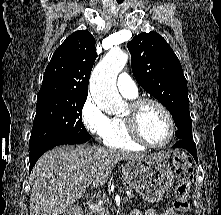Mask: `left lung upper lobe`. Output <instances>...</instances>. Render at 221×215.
<instances>
[{"mask_svg": "<svg viewBox=\"0 0 221 215\" xmlns=\"http://www.w3.org/2000/svg\"><path fill=\"white\" fill-rule=\"evenodd\" d=\"M137 82L171 113L179 139H193L188 89L182 66L172 48L156 32L141 33L128 43Z\"/></svg>", "mask_w": 221, "mask_h": 215, "instance_id": "1", "label": "left lung upper lobe"}]
</instances>
